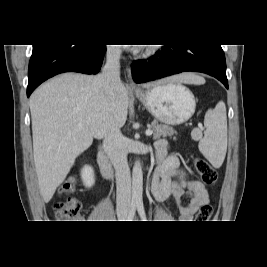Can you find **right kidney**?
Listing matches in <instances>:
<instances>
[{"label":"right kidney","mask_w":267,"mask_h":267,"mask_svg":"<svg viewBox=\"0 0 267 267\" xmlns=\"http://www.w3.org/2000/svg\"><path fill=\"white\" fill-rule=\"evenodd\" d=\"M81 179L85 187L90 188L95 183L94 170L90 166H84L81 170Z\"/></svg>","instance_id":"obj_1"}]
</instances>
